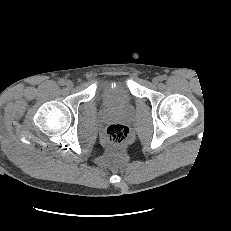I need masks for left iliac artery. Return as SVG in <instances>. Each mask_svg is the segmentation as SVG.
I'll return each mask as SVG.
<instances>
[{
	"instance_id": "left-iliac-artery-1",
	"label": "left iliac artery",
	"mask_w": 231,
	"mask_h": 231,
	"mask_svg": "<svg viewBox=\"0 0 231 231\" xmlns=\"http://www.w3.org/2000/svg\"><path fill=\"white\" fill-rule=\"evenodd\" d=\"M165 79H167L166 75L161 76V80H165Z\"/></svg>"
}]
</instances>
